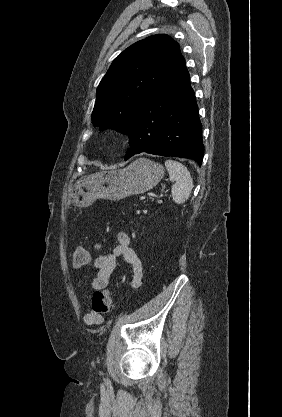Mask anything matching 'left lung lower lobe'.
Segmentation results:
<instances>
[{"label": "left lung lower lobe", "instance_id": "0a47b994", "mask_svg": "<svg viewBox=\"0 0 282 417\" xmlns=\"http://www.w3.org/2000/svg\"><path fill=\"white\" fill-rule=\"evenodd\" d=\"M127 134L130 148L125 160L146 152L193 159L201 166L202 125L183 57L137 109Z\"/></svg>", "mask_w": 282, "mask_h": 417}]
</instances>
